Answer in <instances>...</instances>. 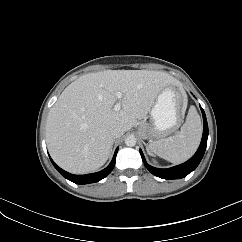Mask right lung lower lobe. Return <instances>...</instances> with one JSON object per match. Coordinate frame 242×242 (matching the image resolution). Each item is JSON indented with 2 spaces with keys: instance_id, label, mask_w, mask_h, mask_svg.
Here are the masks:
<instances>
[{
  "instance_id": "98d812e1",
  "label": "right lung lower lobe",
  "mask_w": 242,
  "mask_h": 242,
  "mask_svg": "<svg viewBox=\"0 0 242 242\" xmlns=\"http://www.w3.org/2000/svg\"><path fill=\"white\" fill-rule=\"evenodd\" d=\"M118 148L116 149L113 159L111 163L102 171L92 173V174H86V175H73L70 174L64 170H62L60 167H58L53 160L50 158L52 164L54 167L59 171V173L64 176L66 179L76 183V184H89V183H95L100 181L101 179L105 178L114 168L115 161H116V155H117Z\"/></svg>"
}]
</instances>
